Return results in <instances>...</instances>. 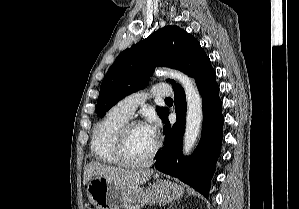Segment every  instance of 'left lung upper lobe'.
Wrapping results in <instances>:
<instances>
[{
  "instance_id": "1",
  "label": "left lung upper lobe",
  "mask_w": 299,
  "mask_h": 209,
  "mask_svg": "<svg viewBox=\"0 0 299 209\" xmlns=\"http://www.w3.org/2000/svg\"><path fill=\"white\" fill-rule=\"evenodd\" d=\"M208 59L197 39L177 26H166L121 52L106 73L97 100V115L102 116L125 96L143 89L156 66L183 71L192 77ZM170 83L174 87L173 80ZM163 119L167 108H158Z\"/></svg>"
}]
</instances>
